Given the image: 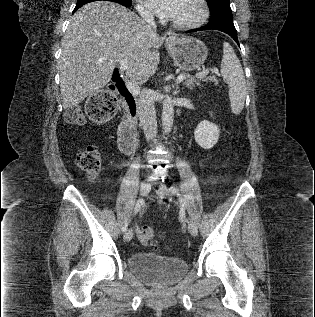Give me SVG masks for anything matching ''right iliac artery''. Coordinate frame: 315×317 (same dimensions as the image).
<instances>
[{
    "mask_svg": "<svg viewBox=\"0 0 315 317\" xmlns=\"http://www.w3.org/2000/svg\"><path fill=\"white\" fill-rule=\"evenodd\" d=\"M144 200L142 198L138 199L137 203H136V206H135V209H134V212H133V215H136L140 210H141V206L143 204ZM128 223L129 222H126L123 227H122V231L125 232L127 230V227H128Z\"/></svg>",
    "mask_w": 315,
    "mask_h": 317,
    "instance_id": "obj_1",
    "label": "right iliac artery"
}]
</instances>
